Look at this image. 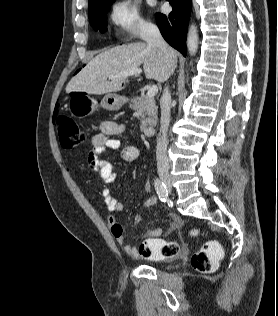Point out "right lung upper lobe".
I'll return each mask as SVG.
<instances>
[{"mask_svg":"<svg viewBox=\"0 0 278 316\" xmlns=\"http://www.w3.org/2000/svg\"><path fill=\"white\" fill-rule=\"evenodd\" d=\"M105 1V0H89V10L92 9L94 6L99 4L100 2Z\"/></svg>","mask_w":278,"mask_h":316,"instance_id":"cb5924a9","label":"right lung upper lobe"}]
</instances>
